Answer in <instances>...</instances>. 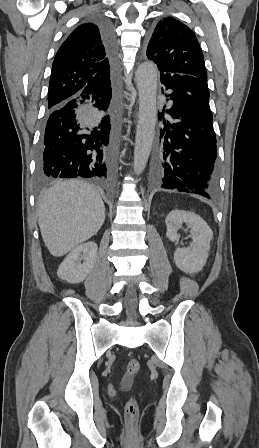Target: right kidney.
Wrapping results in <instances>:
<instances>
[{"instance_id":"ca27d5eb","label":"right kidney","mask_w":259,"mask_h":448,"mask_svg":"<svg viewBox=\"0 0 259 448\" xmlns=\"http://www.w3.org/2000/svg\"><path fill=\"white\" fill-rule=\"evenodd\" d=\"M97 250L95 242H86V244H80V246L74 248L59 266L57 270L58 278L66 280L69 284L83 282L96 264ZM81 260H84L83 264H81Z\"/></svg>"}]
</instances>
